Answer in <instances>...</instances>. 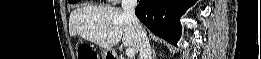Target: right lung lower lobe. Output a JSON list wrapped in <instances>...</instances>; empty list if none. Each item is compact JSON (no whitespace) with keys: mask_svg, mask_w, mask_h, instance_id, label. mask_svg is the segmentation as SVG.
I'll return each instance as SVG.
<instances>
[{"mask_svg":"<svg viewBox=\"0 0 261 59\" xmlns=\"http://www.w3.org/2000/svg\"><path fill=\"white\" fill-rule=\"evenodd\" d=\"M196 0H140L135 13L155 35L173 45L181 36L180 17Z\"/></svg>","mask_w":261,"mask_h":59,"instance_id":"1","label":"right lung lower lobe"}]
</instances>
